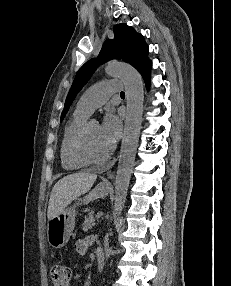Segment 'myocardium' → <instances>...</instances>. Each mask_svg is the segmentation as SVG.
<instances>
[{
	"label": "myocardium",
	"mask_w": 231,
	"mask_h": 286,
	"mask_svg": "<svg viewBox=\"0 0 231 286\" xmlns=\"http://www.w3.org/2000/svg\"><path fill=\"white\" fill-rule=\"evenodd\" d=\"M92 122H96V121L86 120L81 125V127L76 132L72 140V144H71L72 157L74 158L75 161H77L83 166H95V165L103 164L111 158L114 152V145H112L108 153L102 158L94 159V158L89 157L86 154L85 149H84V140H85L87 130Z\"/></svg>",
	"instance_id": "obj_1"
}]
</instances>
